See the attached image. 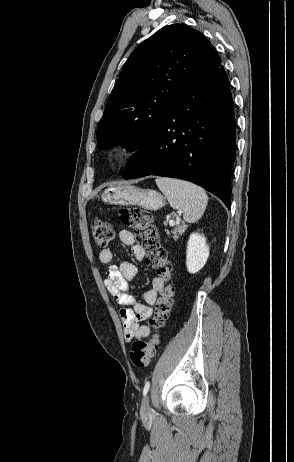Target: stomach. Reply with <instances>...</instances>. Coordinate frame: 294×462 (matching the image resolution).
I'll return each mask as SVG.
<instances>
[{"mask_svg":"<svg viewBox=\"0 0 294 462\" xmlns=\"http://www.w3.org/2000/svg\"><path fill=\"white\" fill-rule=\"evenodd\" d=\"M101 198L107 204L137 205L152 211L165 205V198L159 192L132 185L109 187L103 191Z\"/></svg>","mask_w":294,"mask_h":462,"instance_id":"1","label":"stomach"}]
</instances>
